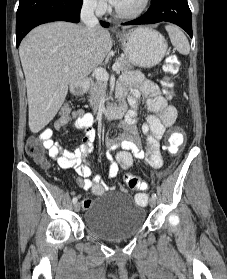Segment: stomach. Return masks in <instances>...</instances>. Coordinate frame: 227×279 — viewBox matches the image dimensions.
<instances>
[{
	"instance_id": "stomach-1",
	"label": "stomach",
	"mask_w": 227,
	"mask_h": 279,
	"mask_svg": "<svg viewBox=\"0 0 227 279\" xmlns=\"http://www.w3.org/2000/svg\"><path fill=\"white\" fill-rule=\"evenodd\" d=\"M126 59L133 65L151 68L159 64L167 51V42L149 27H137L118 33Z\"/></svg>"
}]
</instances>
